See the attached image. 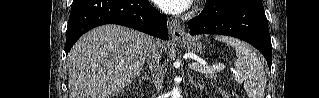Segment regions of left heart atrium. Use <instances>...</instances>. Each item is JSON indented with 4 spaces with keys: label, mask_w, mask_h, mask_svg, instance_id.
Masks as SVG:
<instances>
[{
    "label": "left heart atrium",
    "mask_w": 319,
    "mask_h": 98,
    "mask_svg": "<svg viewBox=\"0 0 319 98\" xmlns=\"http://www.w3.org/2000/svg\"><path fill=\"white\" fill-rule=\"evenodd\" d=\"M155 3L167 13L180 14L191 7L193 0H155Z\"/></svg>",
    "instance_id": "left-heart-atrium-1"
}]
</instances>
